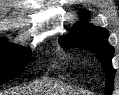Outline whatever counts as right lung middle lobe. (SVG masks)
Masks as SVG:
<instances>
[{
  "mask_svg": "<svg viewBox=\"0 0 119 95\" xmlns=\"http://www.w3.org/2000/svg\"><path fill=\"white\" fill-rule=\"evenodd\" d=\"M30 51L18 45H10L0 39V84L15 78L26 65Z\"/></svg>",
  "mask_w": 119,
  "mask_h": 95,
  "instance_id": "dd1d6c3e",
  "label": "right lung middle lobe"
}]
</instances>
